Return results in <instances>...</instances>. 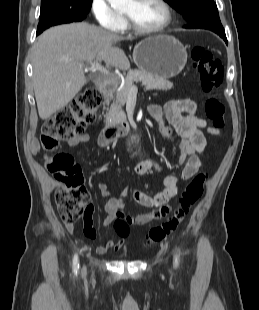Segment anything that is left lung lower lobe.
Masks as SVG:
<instances>
[{"label": "left lung lower lobe", "instance_id": "left-lung-lower-lobe-1", "mask_svg": "<svg viewBox=\"0 0 259 310\" xmlns=\"http://www.w3.org/2000/svg\"><path fill=\"white\" fill-rule=\"evenodd\" d=\"M186 28H192V27H187L185 26ZM221 38H223V40L227 43V38H226V35L225 33H217Z\"/></svg>", "mask_w": 259, "mask_h": 310}]
</instances>
